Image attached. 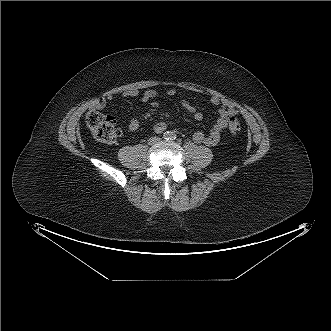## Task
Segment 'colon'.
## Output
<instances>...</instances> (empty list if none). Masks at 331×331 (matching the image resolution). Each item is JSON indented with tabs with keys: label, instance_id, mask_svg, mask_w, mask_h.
Wrapping results in <instances>:
<instances>
[{
	"label": "colon",
	"instance_id": "1",
	"mask_svg": "<svg viewBox=\"0 0 331 331\" xmlns=\"http://www.w3.org/2000/svg\"><path fill=\"white\" fill-rule=\"evenodd\" d=\"M86 123L90 128L93 136L101 142L114 143L121 134L116 127L115 120L112 116L103 114L95 109H90L86 114ZM243 129L240 121L234 117L230 118L228 130L232 135H238Z\"/></svg>",
	"mask_w": 331,
	"mask_h": 331
}]
</instances>
